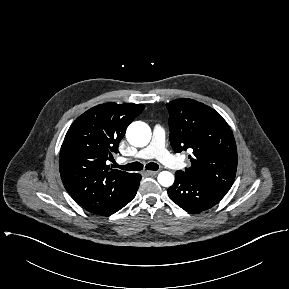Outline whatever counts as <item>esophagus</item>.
<instances>
[{
    "label": "esophagus",
    "instance_id": "obj_1",
    "mask_svg": "<svg viewBox=\"0 0 289 289\" xmlns=\"http://www.w3.org/2000/svg\"><path fill=\"white\" fill-rule=\"evenodd\" d=\"M144 174L147 175V176H155L158 174V171H149V170H146L144 171Z\"/></svg>",
    "mask_w": 289,
    "mask_h": 289
}]
</instances>
